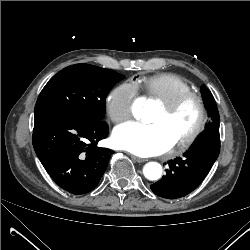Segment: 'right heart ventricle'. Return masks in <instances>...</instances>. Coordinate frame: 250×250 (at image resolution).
Returning <instances> with one entry per match:
<instances>
[{"label":"right heart ventricle","mask_w":250,"mask_h":250,"mask_svg":"<svg viewBox=\"0 0 250 250\" xmlns=\"http://www.w3.org/2000/svg\"><path fill=\"white\" fill-rule=\"evenodd\" d=\"M148 99L167 102L176 95L191 90V86L173 73H159L141 77L136 83Z\"/></svg>","instance_id":"1"}]
</instances>
